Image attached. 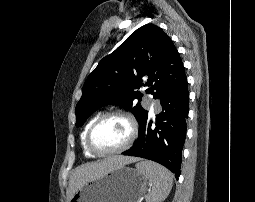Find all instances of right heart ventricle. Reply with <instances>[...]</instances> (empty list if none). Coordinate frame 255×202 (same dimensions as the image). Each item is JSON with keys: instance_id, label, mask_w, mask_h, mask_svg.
Here are the masks:
<instances>
[{"instance_id": "e07e8e85", "label": "right heart ventricle", "mask_w": 255, "mask_h": 202, "mask_svg": "<svg viewBox=\"0 0 255 202\" xmlns=\"http://www.w3.org/2000/svg\"><path fill=\"white\" fill-rule=\"evenodd\" d=\"M97 117H98V116L93 117V118L86 124V126H85V128H84V130H83V132H82V134H81V144H82L83 151H84V153H85L87 156H89V157H93L94 154H92V153L88 150V148H87V146H86L85 139H86V134H87V131H88L90 125L93 123V121H94Z\"/></svg>"}]
</instances>
